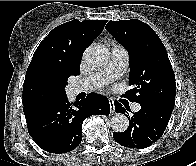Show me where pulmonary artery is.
I'll list each match as a JSON object with an SVG mask.
<instances>
[{
	"label": "pulmonary artery",
	"mask_w": 196,
	"mask_h": 166,
	"mask_svg": "<svg viewBox=\"0 0 196 166\" xmlns=\"http://www.w3.org/2000/svg\"><path fill=\"white\" fill-rule=\"evenodd\" d=\"M127 66V50L122 46L115 45L112 48V54L109 64L102 71L96 72L91 76L81 79L72 84L71 90L74 94L96 90L121 77L125 73ZM140 108L141 107L138 103H134L132 106V109L134 111H139Z\"/></svg>",
	"instance_id": "e3ab8cb5"
}]
</instances>
